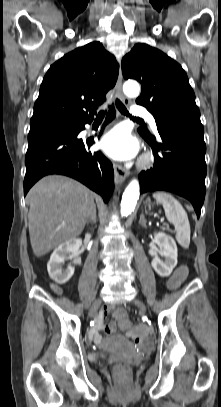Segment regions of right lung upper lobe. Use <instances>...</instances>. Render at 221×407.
Wrapping results in <instances>:
<instances>
[{"label": "right lung upper lobe", "instance_id": "obj_1", "mask_svg": "<svg viewBox=\"0 0 221 407\" xmlns=\"http://www.w3.org/2000/svg\"><path fill=\"white\" fill-rule=\"evenodd\" d=\"M119 66L100 42L66 54L46 73L34 105L30 128L80 124L93 119L96 107L113 88Z\"/></svg>", "mask_w": 221, "mask_h": 407}]
</instances>
